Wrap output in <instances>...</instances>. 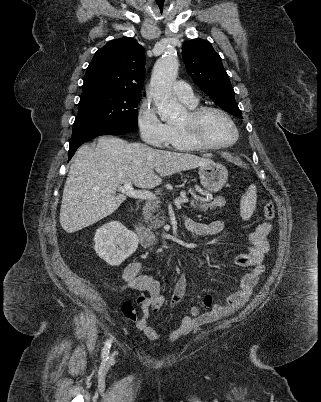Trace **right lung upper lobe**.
Wrapping results in <instances>:
<instances>
[{"mask_svg": "<svg viewBox=\"0 0 321 402\" xmlns=\"http://www.w3.org/2000/svg\"><path fill=\"white\" fill-rule=\"evenodd\" d=\"M144 65V48L134 38L112 40L95 53L87 68L83 89L98 88L141 96Z\"/></svg>", "mask_w": 321, "mask_h": 402, "instance_id": "obj_1", "label": "right lung upper lobe"}]
</instances>
